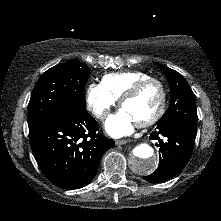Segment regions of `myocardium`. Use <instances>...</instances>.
<instances>
[{"label": "myocardium", "mask_w": 221, "mask_h": 221, "mask_svg": "<svg viewBox=\"0 0 221 221\" xmlns=\"http://www.w3.org/2000/svg\"><path fill=\"white\" fill-rule=\"evenodd\" d=\"M155 83L158 85L160 92H161V101L158 110L156 113L151 116L150 118L138 122V125L141 127H147L150 125H153L157 121L160 120V118L164 115L166 104H167V91L164 83L155 77H148L145 78L139 82H137L134 86H132L121 98H120V107L122 108L123 105L129 101L130 99L136 97L148 84Z\"/></svg>", "instance_id": "f54148a6"}]
</instances>
